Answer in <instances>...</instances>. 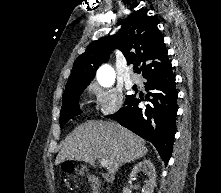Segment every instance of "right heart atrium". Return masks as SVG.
Here are the masks:
<instances>
[{
  "instance_id": "1",
  "label": "right heart atrium",
  "mask_w": 221,
  "mask_h": 193,
  "mask_svg": "<svg viewBox=\"0 0 221 193\" xmlns=\"http://www.w3.org/2000/svg\"><path fill=\"white\" fill-rule=\"evenodd\" d=\"M89 94L94 100L95 108L103 116L116 113L123 105V95L113 88L92 85Z\"/></svg>"
}]
</instances>
